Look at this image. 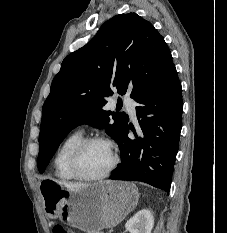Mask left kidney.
I'll list each match as a JSON object with an SVG mask.
<instances>
[{"label": "left kidney", "instance_id": "1", "mask_svg": "<svg viewBox=\"0 0 227 233\" xmlns=\"http://www.w3.org/2000/svg\"><path fill=\"white\" fill-rule=\"evenodd\" d=\"M153 226L154 218L148 209L140 210L125 224L130 233H151Z\"/></svg>", "mask_w": 227, "mask_h": 233}]
</instances>
